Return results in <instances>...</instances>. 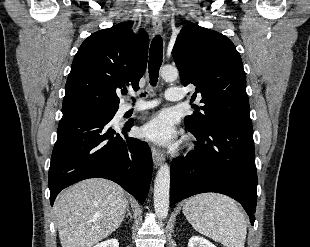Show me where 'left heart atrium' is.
Masks as SVG:
<instances>
[{
    "mask_svg": "<svg viewBox=\"0 0 310 247\" xmlns=\"http://www.w3.org/2000/svg\"><path fill=\"white\" fill-rule=\"evenodd\" d=\"M141 133L144 138L158 145H173L177 138L173 115L168 111L157 113L143 126Z\"/></svg>",
    "mask_w": 310,
    "mask_h": 247,
    "instance_id": "39dd6f15",
    "label": "left heart atrium"
}]
</instances>
